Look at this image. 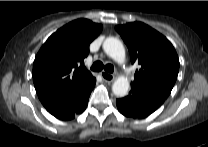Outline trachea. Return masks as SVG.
I'll use <instances>...</instances> for the list:
<instances>
[{"instance_id": "3493384b", "label": "trachea", "mask_w": 208, "mask_h": 147, "mask_svg": "<svg viewBox=\"0 0 208 147\" xmlns=\"http://www.w3.org/2000/svg\"><path fill=\"white\" fill-rule=\"evenodd\" d=\"M103 69L108 73H113V71H114L113 65H111V64L104 65L101 61H96L91 66V70L95 71V72L102 71Z\"/></svg>"}]
</instances>
